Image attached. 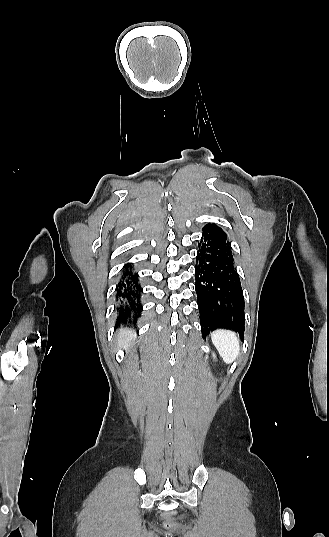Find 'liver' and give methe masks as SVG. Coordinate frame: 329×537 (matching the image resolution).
<instances>
[{
    "label": "liver",
    "instance_id": "obj_1",
    "mask_svg": "<svg viewBox=\"0 0 329 537\" xmlns=\"http://www.w3.org/2000/svg\"><path fill=\"white\" fill-rule=\"evenodd\" d=\"M133 338H135V334L132 333L131 331L129 330H121L120 332V335H119V338H118V344L119 346H122V347H128L130 346L131 344V341L133 340Z\"/></svg>",
    "mask_w": 329,
    "mask_h": 537
}]
</instances>
